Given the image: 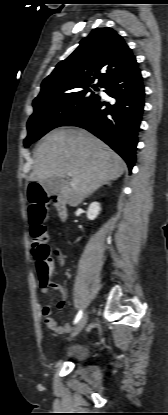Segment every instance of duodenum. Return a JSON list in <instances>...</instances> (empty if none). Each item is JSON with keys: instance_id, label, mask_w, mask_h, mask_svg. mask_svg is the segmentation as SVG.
<instances>
[{"instance_id": "duodenum-1", "label": "duodenum", "mask_w": 168, "mask_h": 415, "mask_svg": "<svg viewBox=\"0 0 168 415\" xmlns=\"http://www.w3.org/2000/svg\"><path fill=\"white\" fill-rule=\"evenodd\" d=\"M54 202L56 205V210H57L59 218L62 221H65L68 217V211H67L65 204L62 201H60L58 198H54Z\"/></svg>"}]
</instances>
